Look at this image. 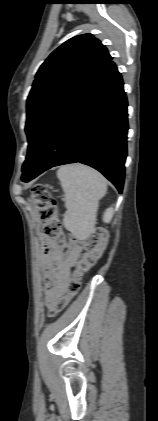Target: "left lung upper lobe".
<instances>
[{"label": "left lung upper lobe", "mask_w": 158, "mask_h": 421, "mask_svg": "<svg viewBox=\"0 0 158 421\" xmlns=\"http://www.w3.org/2000/svg\"><path fill=\"white\" fill-rule=\"evenodd\" d=\"M110 60L105 46L93 35L84 34L66 41L41 65L27 99L28 152L22 171L33 161L55 118Z\"/></svg>", "instance_id": "1"}]
</instances>
